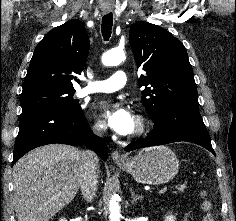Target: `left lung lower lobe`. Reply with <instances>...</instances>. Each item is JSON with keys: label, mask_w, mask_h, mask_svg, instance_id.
<instances>
[{"label": "left lung lower lobe", "mask_w": 236, "mask_h": 221, "mask_svg": "<svg viewBox=\"0 0 236 221\" xmlns=\"http://www.w3.org/2000/svg\"><path fill=\"white\" fill-rule=\"evenodd\" d=\"M179 141L201 145L215 155L210 136L199 113V107L190 105L166 107L154 121L152 133L145 139L128 145L125 151Z\"/></svg>", "instance_id": "left-lung-lower-lobe-1"}]
</instances>
